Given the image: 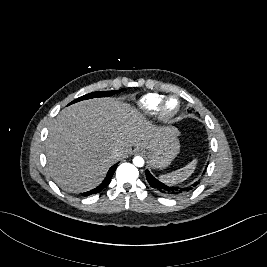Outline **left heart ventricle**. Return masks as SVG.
<instances>
[{
  "label": "left heart ventricle",
  "instance_id": "obj_1",
  "mask_svg": "<svg viewBox=\"0 0 267 267\" xmlns=\"http://www.w3.org/2000/svg\"><path fill=\"white\" fill-rule=\"evenodd\" d=\"M176 107H177V101L171 99L166 103L165 110L167 112H173L176 109Z\"/></svg>",
  "mask_w": 267,
  "mask_h": 267
}]
</instances>
